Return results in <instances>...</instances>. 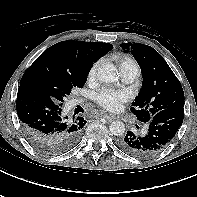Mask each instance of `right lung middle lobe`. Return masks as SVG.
Wrapping results in <instances>:
<instances>
[{"mask_svg": "<svg viewBox=\"0 0 197 197\" xmlns=\"http://www.w3.org/2000/svg\"><path fill=\"white\" fill-rule=\"evenodd\" d=\"M87 75L73 77L65 72L41 66L33 69L24 80L27 86L43 91L54 102L62 104L63 99L71 93L74 87L81 88L84 86Z\"/></svg>", "mask_w": 197, "mask_h": 197, "instance_id": "obj_1", "label": "right lung middle lobe"}]
</instances>
